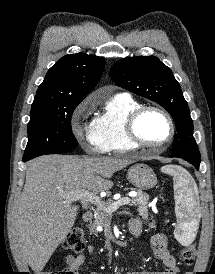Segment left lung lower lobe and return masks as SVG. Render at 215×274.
<instances>
[{
    "label": "left lung lower lobe",
    "instance_id": "obj_1",
    "mask_svg": "<svg viewBox=\"0 0 215 274\" xmlns=\"http://www.w3.org/2000/svg\"><path fill=\"white\" fill-rule=\"evenodd\" d=\"M171 157H180L191 163L197 170L199 169L200 159L186 158L178 155H172Z\"/></svg>",
    "mask_w": 215,
    "mask_h": 274
}]
</instances>
